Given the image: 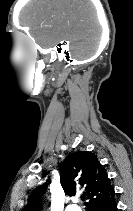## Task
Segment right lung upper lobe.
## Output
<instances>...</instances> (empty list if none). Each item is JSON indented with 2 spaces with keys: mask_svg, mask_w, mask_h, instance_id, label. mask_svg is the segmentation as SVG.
Returning a JSON list of instances; mask_svg holds the SVG:
<instances>
[{
  "mask_svg": "<svg viewBox=\"0 0 133 211\" xmlns=\"http://www.w3.org/2000/svg\"><path fill=\"white\" fill-rule=\"evenodd\" d=\"M60 182L65 194L75 195L80 190L86 193L89 199L87 211L114 200L115 192L107 173L92 152L79 151L69 155L61 165ZM46 187L47 183L32 191L23 211H40Z\"/></svg>",
  "mask_w": 133,
  "mask_h": 211,
  "instance_id": "1",
  "label": "right lung upper lobe"
}]
</instances>
